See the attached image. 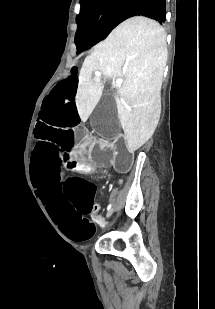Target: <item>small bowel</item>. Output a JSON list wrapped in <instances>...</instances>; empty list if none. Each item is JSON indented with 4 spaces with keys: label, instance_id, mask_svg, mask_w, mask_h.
<instances>
[{
    "label": "small bowel",
    "instance_id": "1",
    "mask_svg": "<svg viewBox=\"0 0 215 309\" xmlns=\"http://www.w3.org/2000/svg\"><path fill=\"white\" fill-rule=\"evenodd\" d=\"M96 207H95V209H94V211H93V214H94V217L98 214V212L100 211V207L99 206H97V205H95Z\"/></svg>",
    "mask_w": 215,
    "mask_h": 309
}]
</instances>
